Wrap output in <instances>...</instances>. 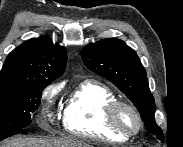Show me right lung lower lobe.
I'll return each mask as SVG.
<instances>
[{"label": "right lung lower lobe", "mask_w": 183, "mask_h": 147, "mask_svg": "<svg viewBox=\"0 0 183 147\" xmlns=\"http://www.w3.org/2000/svg\"><path fill=\"white\" fill-rule=\"evenodd\" d=\"M20 133L27 134V132L24 129H20V130H17V131L10 133L7 137L15 135V134H20ZM7 137H1L0 140L5 139Z\"/></svg>", "instance_id": "98d812e1"}]
</instances>
